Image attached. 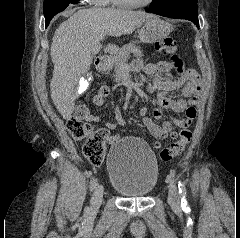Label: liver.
Here are the masks:
<instances>
[{
	"label": "liver",
	"mask_w": 240,
	"mask_h": 238,
	"mask_svg": "<svg viewBox=\"0 0 240 238\" xmlns=\"http://www.w3.org/2000/svg\"><path fill=\"white\" fill-rule=\"evenodd\" d=\"M155 19L157 16L143 11L91 8L78 10L59 25L50 52L54 64L50 93L64 119L74 111L80 77L92 64V47L100 45L106 36L131 34ZM105 50L115 52L117 47L109 44Z\"/></svg>",
	"instance_id": "obj_1"
}]
</instances>
